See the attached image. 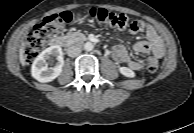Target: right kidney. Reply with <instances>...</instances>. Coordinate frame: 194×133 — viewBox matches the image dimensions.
Returning <instances> with one entry per match:
<instances>
[{"label":"right kidney","instance_id":"right-kidney-1","mask_svg":"<svg viewBox=\"0 0 194 133\" xmlns=\"http://www.w3.org/2000/svg\"><path fill=\"white\" fill-rule=\"evenodd\" d=\"M54 58L57 60L56 64L49 67L47 61L51 62ZM63 65L64 59L61 47L58 45L51 46L42 51L34 60L31 74L39 82H51L61 74Z\"/></svg>","mask_w":194,"mask_h":133}]
</instances>
